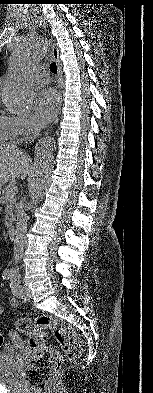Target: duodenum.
<instances>
[{
    "instance_id": "obj_1",
    "label": "duodenum",
    "mask_w": 153,
    "mask_h": 393,
    "mask_svg": "<svg viewBox=\"0 0 153 393\" xmlns=\"http://www.w3.org/2000/svg\"><path fill=\"white\" fill-rule=\"evenodd\" d=\"M8 234H9V237H10L11 239H15V238H16V234H17V228H16V226H14V225L10 226V227L8 228Z\"/></svg>"
}]
</instances>
